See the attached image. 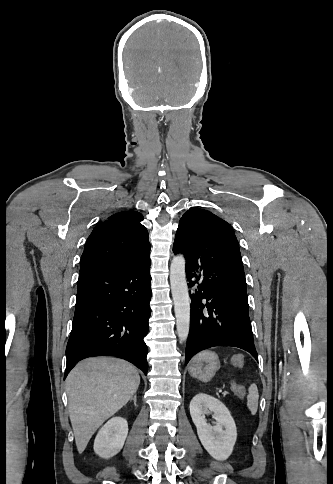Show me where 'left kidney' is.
Instances as JSON below:
<instances>
[{
  "label": "left kidney",
  "mask_w": 333,
  "mask_h": 484,
  "mask_svg": "<svg viewBox=\"0 0 333 484\" xmlns=\"http://www.w3.org/2000/svg\"><path fill=\"white\" fill-rule=\"evenodd\" d=\"M210 413L217 421L214 426L205 419ZM190 415L206 451L216 460H226L237 439L236 425L227 407L220 400L199 393L190 402Z\"/></svg>",
  "instance_id": "obj_1"
}]
</instances>
